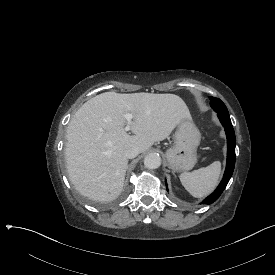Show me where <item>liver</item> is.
<instances>
[{"label": "liver", "mask_w": 275, "mask_h": 275, "mask_svg": "<svg viewBox=\"0 0 275 275\" xmlns=\"http://www.w3.org/2000/svg\"><path fill=\"white\" fill-rule=\"evenodd\" d=\"M134 114L129 135L124 113ZM189 113L175 94L101 93L86 101L67 128L65 148L69 180L80 195L109 202L122 191L128 169L124 148L135 144L141 152L167 137L179 118Z\"/></svg>", "instance_id": "obj_1"}]
</instances>
